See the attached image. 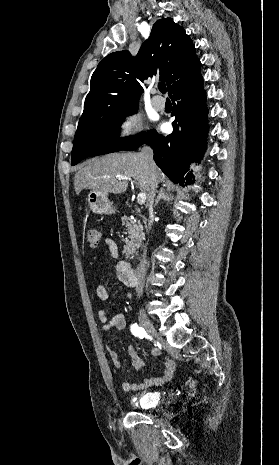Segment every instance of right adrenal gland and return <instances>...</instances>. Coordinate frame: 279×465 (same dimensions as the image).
I'll return each mask as SVG.
<instances>
[{
  "label": "right adrenal gland",
  "instance_id": "obj_1",
  "mask_svg": "<svg viewBox=\"0 0 279 465\" xmlns=\"http://www.w3.org/2000/svg\"><path fill=\"white\" fill-rule=\"evenodd\" d=\"M174 199L173 196L167 194L165 192V190L162 188L160 189V191L158 192V195H157V198L155 200V204H154V207L157 206V204L159 203L160 200H164V201H172Z\"/></svg>",
  "mask_w": 279,
  "mask_h": 465
}]
</instances>
